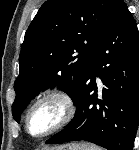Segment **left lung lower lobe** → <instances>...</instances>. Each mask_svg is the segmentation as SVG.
Here are the masks:
<instances>
[{
	"label": "left lung lower lobe",
	"mask_w": 139,
	"mask_h": 150,
	"mask_svg": "<svg viewBox=\"0 0 139 150\" xmlns=\"http://www.w3.org/2000/svg\"><path fill=\"white\" fill-rule=\"evenodd\" d=\"M96 76L104 84L99 93ZM73 102L74 118L47 144L84 140L108 150L133 149L139 122V32L122 0L113 3Z\"/></svg>",
	"instance_id": "0a47b994"
}]
</instances>
